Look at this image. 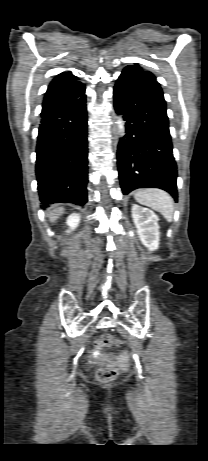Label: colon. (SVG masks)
I'll use <instances>...</instances> for the list:
<instances>
[{"label":"colon","instance_id":"obj_1","mask_svg":"<svg viewBox=\"0 0 208 461\" xmlns=\"http://www.w3.org/2000/svg\"><path fill=\"white\" fill-rule=\"evenodd\" d=\"M116 343L119 346H122V343L114 338L111 334H102L96 341V346L98 348H104ZM118 375V369L115 362H110L107 365L101 367L97 373V379L102 383H108L116 378Z\"/></svg>","mask_w":208,"mask_h":461}]
</instances>
